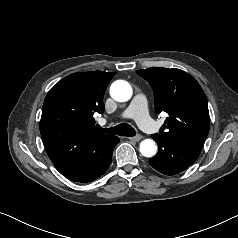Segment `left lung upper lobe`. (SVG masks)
<instances>
[{"instance_id":"5c2ea615","label":"left lung upper lobe","mask_w":238,"mask_h":238,"mask_svg":"<svg viewBox=\"0 0 238 238\" xmlns=\"http://www.w3.org/2000/svg\"><path fill=\"white\" fill-rule=\"evenodd\" d=\"M136 73L150 83L156 113L168 115L160 133L152 138L173 140L202 149L209 132V111L199 83L180 69L151 67Z\"/></svg>"}]
</instances>
